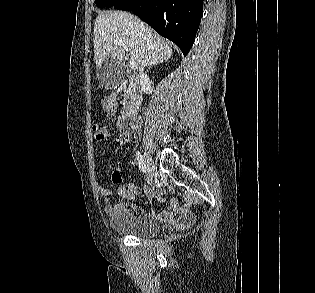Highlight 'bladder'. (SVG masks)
<instances>
[{"label": "bladder", "instance_id": "obj_1", "mask_svg": "<svg viewBox=\"0 0 315 293\" xmlns=\"http://www.w3.org/2000/svg\"><path fill=\"white\" fill-rule=\"evenodd\" d=\"M112 229L124 235L147 238L160 231V225L154 218L134 213H116L110 216Z\"/></svg>", "mask_w": 315, "mask_h": 293}]
</instances>
